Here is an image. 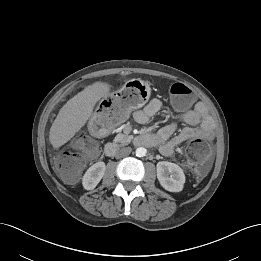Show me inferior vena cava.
<instances>
[{"label": "inferior vena cava", "mask_w": 261, "mask_h": 261, "mask_svg": "<svg viewBox=\"0 0 261 261\" xmlns=\"http://www.w3.org/2000/svg\"><path fill=\"white\" fill-rule=\"evenodd\" d=\"M131 151H132L131 147L121 148V149H119V150L116 152V158L126 157V156H128V155L131 153Z\"/></svg>", "instance_id": "inferior-vena-cava-1"}]
</instances>
